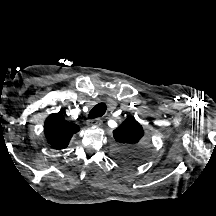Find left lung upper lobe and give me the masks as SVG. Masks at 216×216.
I'll return each mask as SVG.
<instances>
[{"label": "left lung upper lobe", "instance_id": "1", "mask_svg": "<svg viewBox=\"0 0 216 216\" xmlns=\"http://www.w3.org/2000/svg\"><path fill=\"white\" fill-rule=\"evenodd\" d=\"M113 137L116 141L113 156L123 165L143 164L153 156V141L144 134L142 125L134 117L126 118L113 131Z\"/></svg>", "mask_w": 216, "mask_h": 216}]
</instances>
